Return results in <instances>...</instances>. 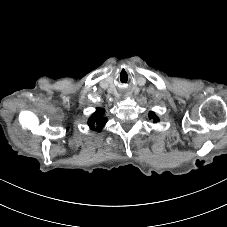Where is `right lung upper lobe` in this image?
<instances>
[{"label":"right lung upper lobe","instance_id":"right-lung-upper-lobe-1","mask_svg":"<svg viewBox=\"0 0 227 227\" xmlns=\"http://www.w3.org/2000/svg\"><path fill=\"white\" fill-rule=\"evenodd\" d=\"M107 119L104 117V109L97 108L96 111L92 114V116L88 120V124L91 129L100 131L102 127L106 124Z\"/></svg>","mask_w":227,"mask_h":227}]
</instances>
